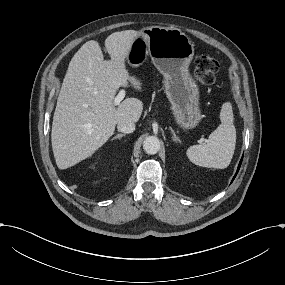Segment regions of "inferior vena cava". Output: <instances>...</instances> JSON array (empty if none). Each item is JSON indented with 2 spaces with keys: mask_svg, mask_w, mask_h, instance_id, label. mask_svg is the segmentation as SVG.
Instances as JSON below:
<instances>
[{
  "mask_svg": "<svg viewBox=\"0 0 285 285\" xmlns=\"http://www.w3.org/2000/svg\"><path fill=\"white\" fill-rule=\"evenodd\" d=\"M117 129L120 132L132 133L135 130V124L129 120H121L117 124Z\"/></svg>",
  "mask_w": 285,
  "mask_h": 285,
  "instance_id": "602c4592",
  "label": "inferior vena cava"
}]
</instances>
